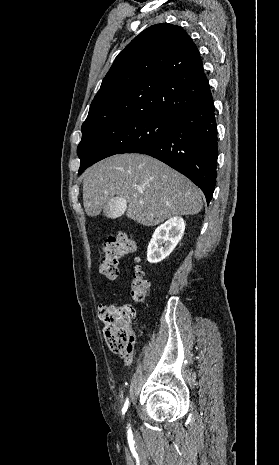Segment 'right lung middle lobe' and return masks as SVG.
Instances as JSON below:
<instances>
[{"mask_svg": "<svg viewBox=\"0 0 279 465\" xmlns=\"http://www.w3.org/2000/svg\"><path fill=\"white\" fill-rule=\"evenodd\" d=\"M172 119L136 116L82 130L78 146L79 173L108 156L144 149L169 131Z\"/></svg>", "mask_w": 279, "mask_h": 465, "instance_id": "1", "label": "right lung middle lobe"}]
</instances>
